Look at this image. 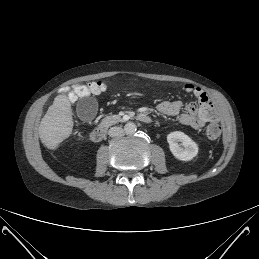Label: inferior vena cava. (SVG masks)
Segmentation results:
<instances>
[{
    "mask_svg": "<svg viewBox=\"0 0 259 259\" xmlns=\"http://www.w3.org/2000/svg\"><path fill=\"white\" fill-rule=\"evenodd\" d=\"M123 133H124V130L118 126L111 127L108 131V134L110 137H119V136H122Z\"/></svg>",
    "mask_w": 259,
    "mask_h": 259,
    "instance_id": "inferior-vena-cava-1",
    "label": "inferior vena cava"
}]
</instances>
